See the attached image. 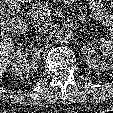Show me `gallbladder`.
<instances>
[{
    "instance_id": "1",
    "label": "gallbladder",
    "mask_w": 113,
    "mask_h": 113,
    "mask_svg": "<svg viewBox=\"0 0 113 113\" xmlns=\"http://www.w3.org/2000/svg\"><path fill=\"white\" fill-rule=\"evenodd\" d=\"M4 1H5V0H0V6H1L2 8L5 6ZM11 1H14V0H11Z\"/></svg>"
}]
</instances>
